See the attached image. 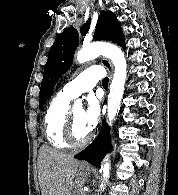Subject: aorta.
Instances as JSON below:
<instances>
[{
    "instance_id": "aorta-1",
    "label": "aorta",
    "mask_w": 178,
    "mask_h": 195,
    "mask_svg": "<svg viewBox=\"0 0 178 195\" xmlns=\"http://www.w3.org/2000/svg\"><path fill=\"white\" fill-rule=\"evenodd\" d=\"M100 55L111 59L115 67V72L108 95V121L109 123H112L120 110V102L124 93L126 81L127 63L124 53L119 47L104 42H95L83 46V48L77 52L76 60L79 63H85L97 58ZM79 104L80 101H77L75 106ZM100 170L103 173V179L107 180L110 173V163L105 161ZM100 188H104L103 183L100 185Z\"/></svg>"
}]
</instances>
